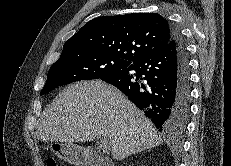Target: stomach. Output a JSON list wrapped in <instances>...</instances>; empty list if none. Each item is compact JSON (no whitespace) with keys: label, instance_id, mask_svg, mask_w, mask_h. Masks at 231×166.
Segmentation results:
<instances>
[{"label":"stomach","instance_id":"0dacf381","mask_svg":"<svg viewBox=\"0 0 231 166\" xmlns=\"http://www.w3.org/2000/svg\"><path fill=\"white\" fill-rule=\"evenodd\" d=\"M51 151L61 160L71 164H84L87 153L84 148L69 142H54L50 144Z\"/></svg>","mask_w":231,"mask_h":166}]
</instances>
